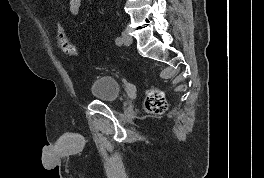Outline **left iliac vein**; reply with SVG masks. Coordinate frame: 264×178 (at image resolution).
I'll return each instance as SVG.
<instances>
[{
	"label": "left iliac vein",
	"instance_id": "1",
	"mask_svg": "<svg viewBox=\"0 0 264 178\" xmlns=\"http://www.w3.org/2000/svg\"><path fill=\"white\" fill-rule=\"evenodd\" d=\"M122 41L125 45L129 46L132 44L133 39L132 37L128 34V32L123 31L122 32Z\"/></svg>",
	"mask_w": 264,
	"mask_h": 178
}]
</instances>
